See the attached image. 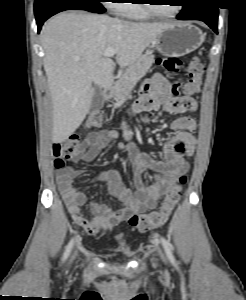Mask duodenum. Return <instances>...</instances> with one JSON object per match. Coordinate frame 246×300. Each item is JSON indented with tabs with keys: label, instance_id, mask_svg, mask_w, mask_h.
I'll list each match as a JSON object with an SVG mask.
<instances>
[{
	"label": "duodenum",
	"instance_id": "410a0bca",
	"mask_svg": "<svg viewBox=\"0 0 246 300\" xmlns=\"http://www.w3.org/2000/svg\"><path fill=\"white\" fill-rule=\"evenodd\" d=\"M111 93V87H106L103 91L104 97L107 98L110 96Z\"/></svg>",
	"mask_w": 246,
	"mask_h": 300
}]
</instances>
